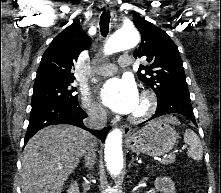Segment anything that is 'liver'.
I'll use <instances>...</instances> for the list:
<instances>
[{"label":"liver","mask_w":221,"mask_h":193,"mask_svg":"<svg viewBox=\"0 0 221 193\" xmlns=\"http://www.w3.org/2000/svg\"><path fill=\"white\" fill-rule=\"evenodd\" d=\"M178 124L175 117H165ZM97 144L86 131L71 125L49 126L38 131L22 153L23 193H61L65 181L80 163L88 143Z\"/></svg>","instance_id":"liver-1"}]
</instances>
